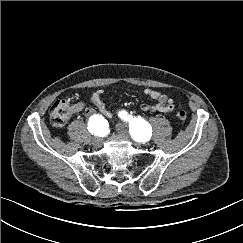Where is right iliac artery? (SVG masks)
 Instances as JSON below:
<instances>
[{
    "label": "right iliac artery",
    "mask_w": 243,
    "mask_h": 243,
    "mask_svg": "<svg viewBox=\"0 0 243 243\" xmlns=\"http://www.w3.org/2000/svg\"><path fill=\"white\" fill-rule=\"evenodd\" d=\"M106 122L103 119V117L99 115H93L90 117L88 122V130L91 132V134L100 135L101 131L105 127Z\"/></svg>",
    "instance_id": "1"
}]
</instances>
